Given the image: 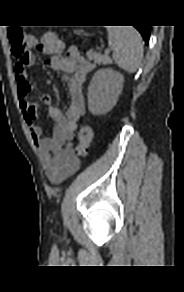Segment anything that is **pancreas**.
<instances>
[{
  "instance_id": "1",
  "label": "pancreas",
  "mask_w": 184,
  "mask_h": 292,
  "mask_svg": "<svg viewBox=\"0 0 184 292\" xmlns=\"http://www.w3.org/2000/svg\"><path fill=\"white\" fill-rule=\"evenodd\" d=\"M86 55L89 60H93L94 63L99 64V65L100 64L106 65V64L112 63L110 57L107 54L102 55L101 53L88 51Z\"/></svg>"
}]
</instances>
